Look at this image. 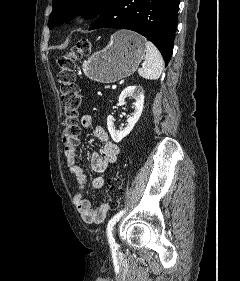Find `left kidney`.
<instances>
[{
  "mask_svg": "<svg viewBox=\"0 0 240 281\" xmlns=\"http://www.w3.org/2000/svg\"><path fill=\"white\" fill-rule=\"evenodd\" d=\"M127 96H133L135 99L134 106V113L131 117L127 119L126 127L123 130H116L114 126V118L112 115H109L107 118V126L108 131L113 139L114 142H120L124 137H126L133 129L137 121L139 120L144 104V94L143 89L139 86H129L122 91L119 96V103H124L125 98Z\"/></svg>",
  "mask_w": 240,
  "mask_h": 281,
  "instance_id": "left-kidney-1",
  "label": "left kidney"
}]
</instances>
